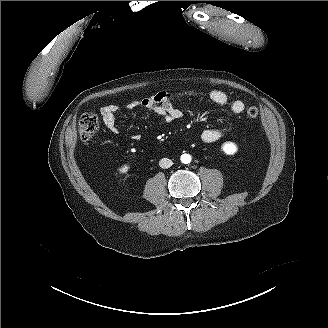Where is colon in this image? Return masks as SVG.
<instances>
[{"instance_id":"obj_1","label":"colon","mask_w":328,"mask_h":328,"mask_svg":"<svg viewBox=\"0 0 328 328\" xmlns=\"http://www.w3.org/2000/svg\"><path fill=\"white\" fill-rule=\"evenodd\" d=\"M247 116L251 119L257 118L259 110L255 106L247 109ZM79 133L84 141L91 139L99 128V119L94 114L85 113L79 119Z\"/></svg>"}]
</instances>
